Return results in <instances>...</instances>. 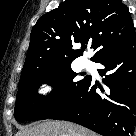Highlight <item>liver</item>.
Wrapping results in <instances>:
<instances>
[{
	"label": "liver",
	"mask_w": 136,
	"mask_h": 136,
	"mask_svg": "<svg viewBox=\"0 0 136 136\" xmlns=\"http://www.w3.org/2000/svg\"><path fill=\"white\" fill-rule=\"evenodd\" d=\"M15 136H96L79 125L64 121H46L26 127Z\"/></svg>",
	"instance_id": "1"
}]
</instances>
